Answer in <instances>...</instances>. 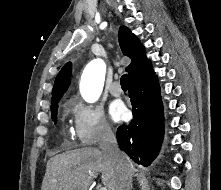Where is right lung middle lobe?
<instances>
[{"instance_id":"dd1d6c3e","label":"right lung middle lobe","mask_w":221,"mask_h":190,"mask_svg":"<svg viewBox=\"0 0 221 190\" xmlns=\"http://www.w3.org/2000/svg\"><path fill=\"white\" fill-rule=\"evenodd\" d=\"M58 102H59V100H56V101L51 103V116H52V120L55 123L57 122Z\"/></svg>"}]
</instances>
